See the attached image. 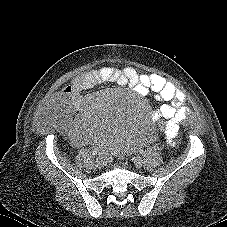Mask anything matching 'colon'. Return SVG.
<instances>
[{
    "mask_svg": "<svg viewBox=\"0 0 227 227\" xmlns=\"http://www.w3.org/2000/svg\"><path fill=\"white\" fill-rule=\"evenodd\" d=\"M178 132L180 134H187L189 132V125L187 123H180L178 125Z\"/></svg>",
    "mask_w": 227,
    "mask_h": 227,
    "instance_id": "obj_1",
    "label": "colon"
}]
</instances>
